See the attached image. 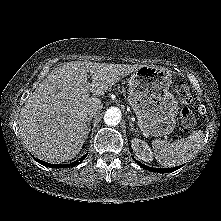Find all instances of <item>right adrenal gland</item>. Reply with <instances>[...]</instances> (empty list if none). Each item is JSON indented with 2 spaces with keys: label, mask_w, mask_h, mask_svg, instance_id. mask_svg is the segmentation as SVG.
I'll use <instances>...</instances> for the list:
<instances>
[{
  "label": "right adrenal gland",
  "mask_w": 221,
  "mask_h": 221,
  "mask_svg": "<svg viewBox=\"0 0 221 221\" xmlns=\"http://www.w3.org/2000/svg\"><path fill=\"white\" fill-rule=\"evenodd\" d=\"M92 120V117H88L87 119V127H86V132H85V139L88 138L89 132H90V122Z\"/></svg>",
  "instance_id": "obj_1"
}]
</instances>
